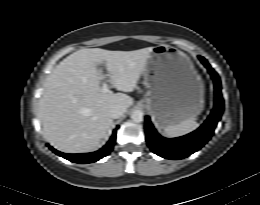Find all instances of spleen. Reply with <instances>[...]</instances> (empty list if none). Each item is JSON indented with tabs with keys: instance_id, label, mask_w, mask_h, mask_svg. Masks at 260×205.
Here are the masks:
<instances>
[{
	"instance_id": "1",
	"label": "spleen",
	"mask_w": 260,
	"mask_h": 205,
	"mask_svg": "<svg viewBox=\"0 0 260 205\" xmlns=\"http://www.w3.org/2000/svg\"><path fill=\"white\" fill-rule=\"evenodd\" d=\"M196 120L197 118L193 117L185 121H182L177 125L168 126L164 129V132L169 137H179L186 135L197 128L198 124Z\"/></svg>"
}]
</instances>
